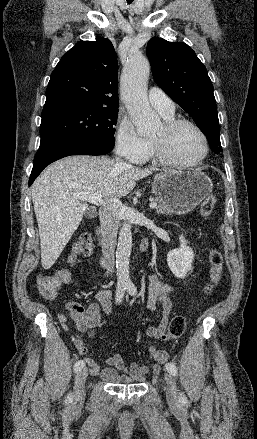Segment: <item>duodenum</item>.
I'll list each match as a JSON object with an SVG mask.
<instances>
[{
  "label": "duodenum",
  "mask_w": 257,
  "mask_h": 439,
  "mask_svg": "<svg viewBox=\"0 0 257 439\" xmlns=\"http://www.w3.org/2000/svg\"><path fill=\"white\" fill-rule=\"evenodd\" d=\"M97 237H98L99 244L101 245L102 244V232H101L100 228L97 230ZM146 248H147L146 242H142L140 245V252L141 253L144 252L146 250ZM101 263H102V265H106L107 261H106L105 257H103L101 259Z\"/></svg>",
  "instance_id": "410a0bca"
}]
</instances>
